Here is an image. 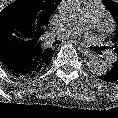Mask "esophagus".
I'll return each instance as SVG.
<instances>
[{"instance_id":"obj_1","label":"esophagus","mask_w":118,"mask_h":118,"mask_svg":"<svg viewBox=\"0 0 118 118\" xmlns=\"http://www.w3.org/2000/svg\"><path fill=\"white\" fill-rule=\"evenodd\" d=\"M80 49L82 51V53L88 57H92L93 56V53L88 49L86 48L85 46L83 45H80Z\"/></svg>"}]
</instances>
